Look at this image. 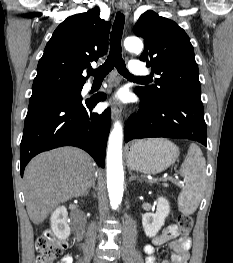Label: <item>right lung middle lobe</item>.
Returning a JSON list of instances; mask_svg holds the SVG:
<instances>
[{"mask_svg":"<svg viewBox=\"0 0 233 263\" xmlns=\"http://www.w3.org/2000/svg\"><path fill=\"white\" fill-rule=\"evenodd\" d=\"M82 87H77V88H72L64 91H59V92H54V93H49V94H44V95H39V96H31L29 102H32L37 99H42V98H48L56 95H62V94H81Z\"/></svg>","mask_w":233,"mask_h":263,"instance_id":"1","label":"right lung middle lobe"}]
</instances>
